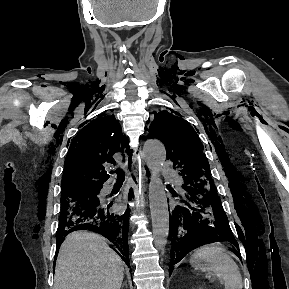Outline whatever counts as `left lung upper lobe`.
<instances>
[{"label":"left lung upper lobe","instance_id":"1","mask_svg":"<svg viewBox=\"0 0 289 289\" xmlns=\"http://www.w3.org/2000/svg\"><path fill=\"white\" fill-rule=\"evenodd\" d=\"M176 115L167 111L155 113L148 138H157L165 144L167 157L173 161V166L178 169L184 183H203L205 186L215 187L196 131Z\"/></svg>","mask_w":289,"mask_h":289}]
</instances>
